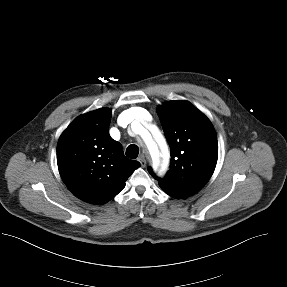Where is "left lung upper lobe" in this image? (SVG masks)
I'll use <instances>...</instances> for the list:
<instances>
[{"mask_svg": "<svg viewBox=\"0 0 287 287\" xmlns=\"http://www.w3.org/2000/svg\"><path fill=\"white\" fill-rule=\"evenodd\" d=\"M158 116L171 150V165L164 178L150 174L168 195L186 198L211 178L218 158L216 132L209 119L188 101H168Z\"/></svg>", "mask_w": 287, "mask_h": 287, "instance_id": "left-lung-upper-lobe-1", "label": "left lung upper lobe"}]
</instances>
